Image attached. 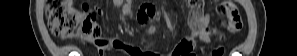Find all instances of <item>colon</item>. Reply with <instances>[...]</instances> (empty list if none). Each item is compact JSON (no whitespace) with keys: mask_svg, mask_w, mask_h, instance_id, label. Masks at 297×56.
Returning <instances> with one entry per match:
<instances>
[{"mask_svg":"<svg viewBox=\"0 0 297 56\" xmlns=\"http://www.w3.org/2000/svg\"><path fill=\"white\" fill-rule=\"evenodd\" d=\"M216 12L228 18V28L231 32L241 30V17L236 7L230 2H218ZM46 15L49 28L54 36L64 40L74 36L85 40L86 36H97V40H101V30L98 24L100 12L96 8L87 4L77 8L72 0H48ZM222 54L223 50L219 49L215 50L212 56H222Z\"/></svg>","mask_w":297,"mask_h":56,"instance_id":"5ec220e1","label":"colon"}]
</instances>
